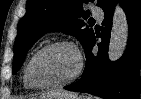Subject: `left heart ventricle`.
I'll list each match as a JSON object with an SVG mask.
<instances>
[{"mask_svg":"<svg viewBox=\"0 0 141 99\" xmlns=\"http://www.w3.org/2000/svg\"><path fill=\"white\" fill-rule=\"evenodd\" d=\"M77 66V57L72 49L56 47L37 58L32 68V76L38 83H56L72 76Z\"/></svg>","mask_w":141,"mask_h":99,"instance_id":"b2bd125f","label":"left heart ventricle"}]
</instances>
